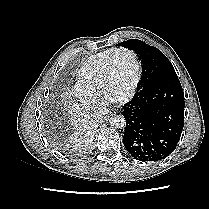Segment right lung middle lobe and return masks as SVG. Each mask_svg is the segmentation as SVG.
Here are the masks:
<instances>
[{
  "label": "right lung middle lobe",
  "mask_w": 209,
  "mask_h": 209,
  "mask_svg": "<svg viewBox=\"0 0 209 209\" xmlns=\"http://www.w3.org/2000/svg\"><path fill=\"white\" fill-rule=\"evenodd\" d=\"M59 148L62 149V150L67 149L65 144H62V143H59Z\"/></svg>",
  "instance_id": "right-lung-middle-lobe-1"
}]
</instances>
